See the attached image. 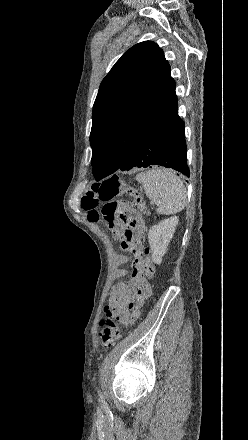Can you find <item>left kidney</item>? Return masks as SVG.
Returning a JSON list of instances; mask_svg holds the SVG:
<instances>
[{"instance_id":"1","label":"left kidney","mask_w":248,"mask_h":440,"mask_svg":"<svg viewBox=\"0 0 248 440\" xmlns=\"http://www.w3.org/2000/svg\"><path fill=\"white\" fill-rule=\"evenodd\" d=\"M177 224L178 217L173 216L164 219L150 228L148 232V240L152 254V261L154 263L161 264L162 257L167 252L168 245L173 237Z\"/></svg>"}]
</instances>
